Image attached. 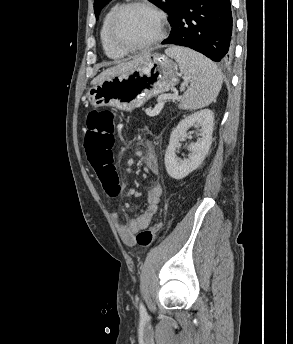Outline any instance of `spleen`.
Here are the masks:
<instances>
[{
	"mask_svg": "<svg viewBox=\"0 0 293 344\" xmlns=\"http://www.w3.org/2000/svg\"><path fill=\"white\" fill-rule=\"evenodd\" d=\"M165 52L177 61L190 83L181 98L179 108L195 110L213 102L223 82L217 66L205 56L188 48L171 47Z\"/></svg>",
	"mask_w": 293,
	"mask_h": 344,
	"instance_id": "obj_1",
	"label": "spleen"
}]
</instances>
